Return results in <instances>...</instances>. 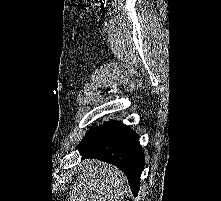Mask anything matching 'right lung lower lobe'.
<instances>
[{
	"mask_svg": "<svg viewBox=\"0 0 221 201\" xmlns=\"http://www.w3.org/2000/svg\"><path fill=\"white\" fill-rule=\"evenodd\" d=\"M82 158H96L119 167L134 195L140 186L145 156L138 135L123 123L110 121L92 128L78 146Z\"/></svg>",
	"mask_w": 221,
	"mask_h": 201,
	"instance_id": "obj_1",
	"label": "right lung lower lobe"
}]
</instances>
